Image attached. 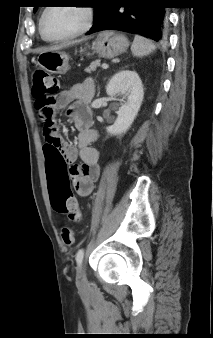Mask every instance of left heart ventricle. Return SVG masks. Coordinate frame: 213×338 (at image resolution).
<instances>
[{
	"label": "left heart ventricle",
	"mask_w": 213,
	"mask_h": 338,
	"mask_svg": "<svg viewBox=\"0 0 213 338\" xmlns=\"http://www.w3.org/2000/svg\"><path fill=\"white\" fill-rule=\"evenodd\" d=\"M85 22V13L79 7H55L45 17L43 33L49 39L74 33Z\"/></svg>",
	"instance_id": "1"
}]
</instances>
